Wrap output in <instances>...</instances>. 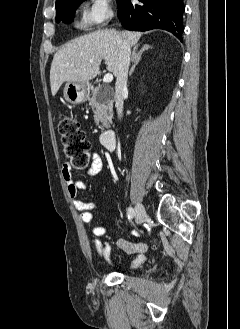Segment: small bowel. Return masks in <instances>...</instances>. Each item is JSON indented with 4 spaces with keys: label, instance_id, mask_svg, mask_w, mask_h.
I'll return each instance as SVG.
<instances>
[{
    "label": "small bowel",
    "instance_id": "1",
    "mask_svg": "<svg viewBox=\"0 0 240 329\" xmlns=\"http://www.w3.org/2000/svg\"><path fill=\"white\" fill-rule=\"evenodd\" d=\"M102 165L100 156L93 152L91 155V164L87 170L88 176H96L101 171ZM61 175L66 184L68 196L73 200L74 207L79 211L80 220L86 224L91 223L93 220L92 211L97 208V205L94 203L83 202L77 198L79 193L86 189V184L82 181L76 180L73 177L70 165L68 163H65L62 166ZM108 232V228L104 226H96L92 229V233L95 237L103 236ZM116 244L127 254L135 255L132 263V267L134 269L141 267L146 261L145 253L147 251V245L145 243H130L124 239L117 238ZM93 245L99 258L104 259L109 263L112 262V250L107 243L95 238L93 240Z\"/></svg>",
    "mask_w": 240,
    "mask_h": 329
}]
</instances>
